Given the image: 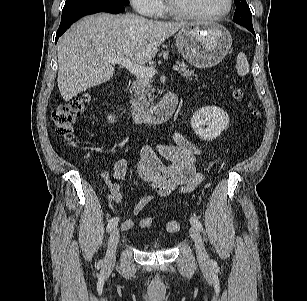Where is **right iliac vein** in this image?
<instances>
[{
	"mask_svg": "<svg viewBox=\"0 0 307 301\" xmlns=\"http://www.w3.org/2000/svg\"><path fill=\"white\" fill-rule=\"evenodd\" d=\"M120 232L117 227H114L110 233V237L108 240V248L104 260V264L107 267H112L115 264L116 260V248L119 241Z\"/></svg>",
	"mask_w": 307,
	"mask_h": 301,
	"instance_id": "obj_1",
	"label": "right iliac vein"
}]
</instances>
